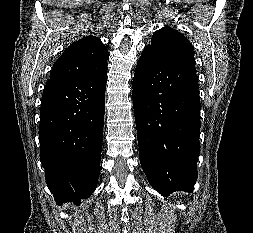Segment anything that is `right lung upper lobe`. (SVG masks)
<instances>
[{"label": "right lung upper lobe", "mask_w": 253, "mask_h": 233, "mask_svg": "<svg viewBox=\"0 0 253 233\" xmlns=\"http://www.w3.org/2000/svg\"><path fill=\"white\" fill-rule=\"evenodd\" d=\"M109 54L101 40L86 36L73 42L55 62L50 77L93 73L107 68Z\"/></svg>", "instance_id": "1"}]
</instances>
